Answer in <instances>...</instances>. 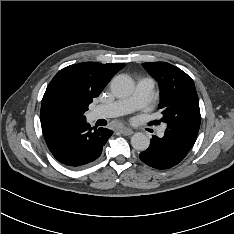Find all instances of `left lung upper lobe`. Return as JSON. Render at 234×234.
<instances>
[{
	"instance_id": "1",
	"label": "left lung upper lobe",
	"mask_w": 234,
	"mask_h": 234,
	"mask_svg": "<svg viewBox=\"0 0 234 234\" xmlns=\"http://www.w3.org/2000/svg\"><path fill=\"white\" fill-rule=\"evenodd\" d=\"M158 82L161 95V121L167 124L166 134L187 148L193 146L200 128L199 99L193 80L181 69L165 62L143 63Z\"/></svg>"
}]
</instances>
